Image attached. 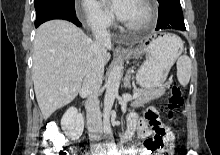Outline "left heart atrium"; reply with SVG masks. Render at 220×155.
I'll return each instance as SVG.
<instances>
[{"instance_id": "1", "label": "left heart atrium", "mask_w": 220, "mask_h": 155, "mask_svg": "<svg viewBox=\"0 0 220 155\" xmlns=\"http://www.w3.org/2000/svg\"><path fill=\"white\" fill-rule=\"evenodd\" d=\"M132 0H111L105 2L112 12L121 20H124L130 9Z\"/></svg>"}]
</instances>
